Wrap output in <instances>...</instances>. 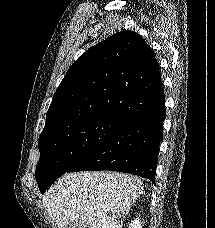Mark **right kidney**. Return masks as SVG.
Instances as JSON below:
<instances>
[{
	"label": "right kidney",
	"instance_id": "1",
	"mask_svg": "<svg viewBox=\"0 0 215 228\" xmlns=\"http://www.w3.org/2000/svg\"><path fill=\"white\" fill-rule=\"evenodd\" d=\"M129 228H142V222L140 218H136V220H132L131 224H129Z\"/></svg>",
	"mask_w": 215,
	"mask_h": 228
}]
</instances>
